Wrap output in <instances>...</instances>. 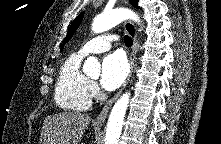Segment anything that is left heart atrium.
<instances>
[{
    "instance_id": "left-heart-atrium-1",
    "label": "left heart atrium",
    "mask_w": 221,
    "mask_h": 144,
    "mask_svg": "<svg viewBox=\"0 0 221 144\" xmlns=\"http://www.w3.org/2000/svg\"><path fill=\"white\" fill-rule=\"evenodd\" d=\"M128 74V64L121 53L107 55L102 61L101 85L112 91L118 88Z\"/></svg>"
}]
</instances>
